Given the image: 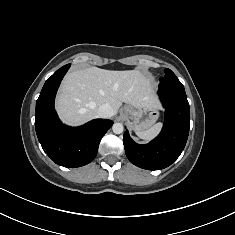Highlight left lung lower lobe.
Wrapping results in <instances>:
<instances>
[{"mask_svg": "<svg viewBox=\"0 0 235 235\" xmlns=\"http://www.w3.org/2000/svg\"><path fill=\"white\" fill-rule=\"evenodd\" d=\"M159 97L166 109L161 133L150 143H135L126 130L123 144L128 159L147 170L171 165L183 151L190 128V110L184 86L179 80L160 78Z\"/></svg>", "mask_w": 235, "mask_h": 235, "instance_id": "0a47b994", "label": "left lung lower lobe"}]
</instances>
